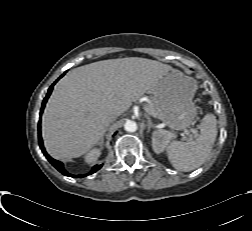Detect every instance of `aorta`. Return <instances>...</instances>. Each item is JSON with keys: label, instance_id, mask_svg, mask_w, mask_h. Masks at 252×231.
I'll use <instances>...</instances> for the list:
<instances>
[{"label": "aorta", "instance_id": "1", "mask_svg": "<svg viewBox=\"0 0 252 231\" xmlns=\"http://www.w3.org/2000/svg\"><path fill=\"white\" fill-rule=\"evenodd\" d=\"M124 129L127 132H135L137 130V124L134 121L128 120L126 121V123L124 124Z\"/></svg>", "mask_w": 252, "mask_h": 231}]
</instances>
